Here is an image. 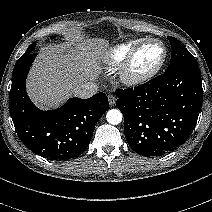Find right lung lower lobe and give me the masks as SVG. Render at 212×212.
Wrapping results in <instances>:
<instances>
[{
	"label": "right lung lower lobe",
	"instance_id": "obj_1",
	"mask_svg": "<svg viewBox=\"0 0 212 212\" xmlns=\"http://www.w3.org/2000/svg\"><path fill=\"white\" fill-rule=\"evenodd\" d=\"M36 54L18 59L9 93V110L16 132L32 152L51 160H68L82 154L97 121L109 108L104 93L88 99L71 98L61 108L42 111L29 99L26 78Z\"/></svg>",
	"mask_w": 212,
	"mask_h": 212
}]
</instances>
